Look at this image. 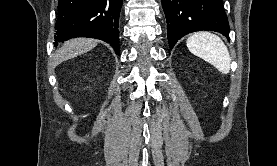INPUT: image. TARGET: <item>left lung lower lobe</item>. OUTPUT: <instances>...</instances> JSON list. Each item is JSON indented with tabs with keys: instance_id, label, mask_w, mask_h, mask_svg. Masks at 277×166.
I'll use <instances>...</instances> for the list:
<instances>
[{
	"instance_id": "0a47b994",
	"label": "left lung lower lobe",
	"mask_w": 277,
	"mask_h": 166,
	"mask_svg": "<svg viewBox=\"0 0 277 166\" xmlns=\"http://www.w3.org/2000/svg\"><path fill=\"white\" fill-rule=\"evenodd\" d=\"M167 20L169 47L184 35L211 30L229 37V23L222 0H161Z\"/></svg>"
}]
</instances>
